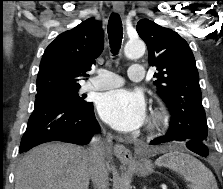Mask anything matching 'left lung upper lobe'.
I'll return each mask as SVG.
<instances>
[{
	"instance_id": "1",
	"label": "left lung upper lobe",
	"mask_w": 223,
	"mask_h": 189,
	"mask_svg": "<svg viewBox=\"0 0 223 189\" xmlns=\"http://www.w3.org/2000/svg\"><path fill=\"white\" fill-rule=\"evenodd\" d=\"M137 32L148 47L150 66H156L158 94L172 114L167 137L208 144L199 74L188 43L175 31L142 19Z\"/></svg>"
}]
</instances>
